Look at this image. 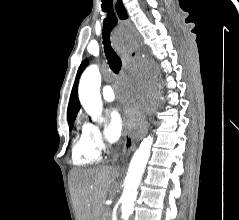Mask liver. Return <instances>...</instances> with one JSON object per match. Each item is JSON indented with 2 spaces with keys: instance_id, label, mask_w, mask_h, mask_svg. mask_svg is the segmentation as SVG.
<instances>
[{
  "instance_id": "1",
  "label": "liver",
  "mask_w": 239,
  "mask_h": 220,
  "mask_svg": "<svg viewBox=\"0 0 239 220\" xmlns=\"http://www.w3.org/2000/svg\"><path fill=\"white\" fill-rule=\"evenodd\" d=\"M119 172L112 166L73 169L69 183L77 220H101L107 195Z\"/></svg>"
}]
</instances>
